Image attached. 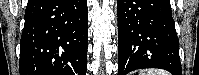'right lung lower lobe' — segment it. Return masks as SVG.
I'll return each instance as SVG.
<instances>
[{
  "mask_svg": "<svg viewBox=\"0 0 199 75\" xmlns=\"http://www.w3.org/2000/svg\"><path fill=\"white\" fill-rule=\"evenodd\" d=\"M20 75H86L87 0H28Z\"/></svg>",
  "mask_w": 199,
  "mask_h": 75,
  "instance_id": "1",
  "label": "right lung lower lobe"
}]
</instances>
